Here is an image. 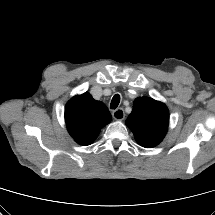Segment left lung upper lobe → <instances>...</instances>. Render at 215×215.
<instances>
[{
  "label": "left lung upper lobe",
  "mask_w": 215,
  "mask_h": 215,
  "mask_svg": "<svg viewBox=\"0 0 215 215\" xmlns=\"http://www.w3.org/2000/svg\"><path fill=\"white\" fill-rule=\"evenodd\" d=\"M169 112L165 104L149 97L134 100L133 110L126 120L139 145L145 148L157 146L165 137Z\"/></svg>",
  "instance_id": "5c2ea615"
}]
</instances>
